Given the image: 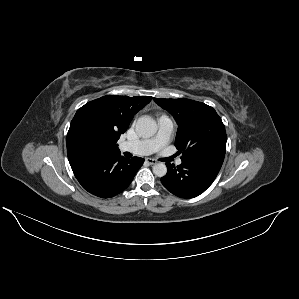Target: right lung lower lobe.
Wrapping results in <instances>:
<instances>
[{"mask_svg": "<svg viewBox=\"0 0 299 299\" xmlns=\"http://www.w3.org/2000/svg\"><path fill=\"white\" fill-rule=\"evenodd\" d=\"M143 162L140 157L126 159L120 152L96 153L74 159L70 166L85 190L101 198H110L130 185Z\"/></svg>", "mask_w": 299, "mask_h": 299, "instance_id": "98d812e1", "label": "right lung lower lobe"}]
</instances>
